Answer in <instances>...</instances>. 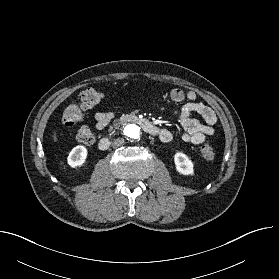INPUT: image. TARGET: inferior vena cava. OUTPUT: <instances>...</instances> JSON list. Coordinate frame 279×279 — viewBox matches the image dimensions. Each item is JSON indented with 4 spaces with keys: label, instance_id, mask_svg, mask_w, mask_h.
I'll list each match as a JSON object with an SVG mask.
<instances>
[{
    "label": "inferior vena cava",
    "instance_id": "inferior-vena-cava-1",
    "mask_svg": "<svg viewBox=\"0 0 279 279\" xmlns=\"http://www.w3.org/2000/svg\"><path fill=\"white\" fill-rule=\"evenodd\" d=\"M124 143H125V141H124L123 138H117V139L114 140L113 146L114 147H119V146H122Z\"/></svg>",
    "mask_w": 279,
    "mask_h": 279
}]
</instances>
